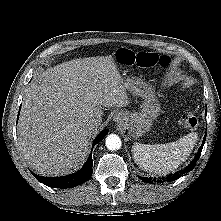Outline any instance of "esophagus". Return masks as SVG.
Here are the masks:
<instances>
[{
  "label": "esophagus",
  "mask_w": 221,
  "mask_h": 221,
  "mask_svg": "<svg viewBox=\"0 0 221 221\" xmlns=\"http://www.w3.org/2000/svg\"><path fill=\"white\" fill-rule=\"evenodd\" d=\"M113 120H114L116 123L121 124V123H123L124 116H123L122 113H116V114L114 115Z\"/></svg>",
  "instance_id": "1"
}]
</instances>
